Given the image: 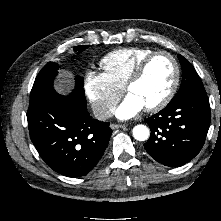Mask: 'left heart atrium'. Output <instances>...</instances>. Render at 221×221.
<instances>
[{
  "label": "left heart atrium",
  "mask_w": 221,
  "mask_h": 221,
  "mask_svg": "<svg viewBox=\"0 0 221 221\" xmlns=\"http://www.w3.org/2000/svg\"><path fill=\"white\" fill-rule=\"evenodd\" d=\"M144 108L143 103L134 95L128 94L123 101L113 110L119 119H130Z\"/></svg>",
  "instance_id": "1"
}]
</instances>
